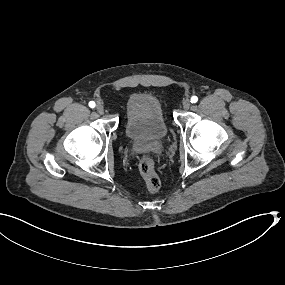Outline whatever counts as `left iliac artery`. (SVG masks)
<instances>
[{"instance_id": "1", "label": "left iliac artery", "mask_w": 285, "mask_h": 285, "mask_svg": "<svg viewBox=\"0 0 285 285\" xmlns=\"http://www.w3.org/2000/svg\"><path fill=\"white\" fill-rule=\"evenodd\" d=\"M198 101V97L197 96H192L191 97V103H196Z\"/></svg>"}]
</instances>
